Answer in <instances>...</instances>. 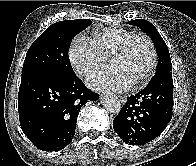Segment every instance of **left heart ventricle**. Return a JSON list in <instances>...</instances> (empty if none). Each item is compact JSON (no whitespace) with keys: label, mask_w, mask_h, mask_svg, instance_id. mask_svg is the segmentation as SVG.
Listing matches in <instances>:
<instances>
[{"label":"left heart ventricle","mask_w":196,"mask_h":166,"mask_svg":"<svg viewBox=\"0 0 196 166\" xmlns=\"http://www.w3.org/2000/svg\"><path fill=\"white\" fill-rule=\"evenodd\" d=\"M151 63V51L143 38L134 39L128 51L110 62L111 67L119 69L132 83L141 78Z\"/></svg>","instance_id":"1"}]
</instances>
